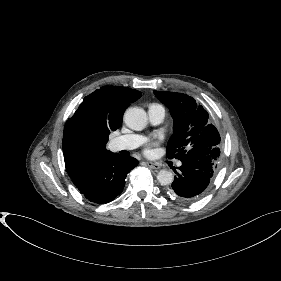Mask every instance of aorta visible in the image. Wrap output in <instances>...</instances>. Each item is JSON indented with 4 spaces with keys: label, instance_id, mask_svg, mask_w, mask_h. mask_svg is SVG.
<instances>
[{
    "label": "aorta",
    "instance_id": "aorta-1",
    "mask_svg": "<svg viewBox=\"0 0 281 281\" xmlns=\"http://www.w3.org/2000/svg\"><path fill=\"white\" fill-rule=\"evenodd\" d=\"M147 120V114L142 108L131 107L124 113V122L133 130L140 131L144 129L147 125ZM157 179L161 185L165 186L173 182L174 176L169 170H160Z\"/></svg>",
    "mask_w": 281,
    "mask_h": 281
}]
</instances>
